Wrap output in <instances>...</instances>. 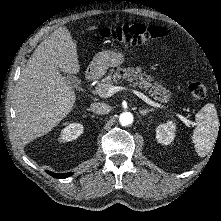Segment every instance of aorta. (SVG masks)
<instances>
[{
  "mask_svg": "<svg viewBox=\"0 0 221 221\" xmlns=\"http://www.w3.org/2000/svg\"><path fill=\"white\" fill-rule=\"evenodd\" d=\"M119 122L122 126H128L133 122V115L130 112H123L119 116Z\"/></svg>",
  "mask_w": 221,
  "mask_h": 221,
  "instance_id": "1",
  "label": "aorta"
}]
</instances>
